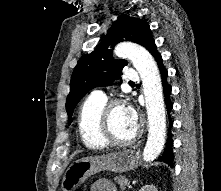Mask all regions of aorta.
I'll list each match as a JSON object with an SVG mask.
<instances>
[{
  "mask_svg": "<svg viewBox=\"0 0 221 191\" xmlns=\"http://www.w3.org/2000/svg\"><path fill=\"white\" fill-rule=\"evenodd\" d=\"M114 53L128 58L142 79L148 115V139L143 151L145 161H153L165 144L166 114L160 72L152 55L143 47L123 42L115 47Z\"/></svg>",
  "mask_w": 221,
  "mask_h": 191,
  "instance_id": "1",
  "label": "aorta"
}]
</instances>
